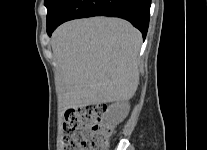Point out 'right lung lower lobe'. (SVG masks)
<instances>
[{
	"instance_id": "right-lung-lower-lobe-1",
	"label": "right lung lower lobe",
	"mask_w": 207,
	"mask_h": 150,
	"mask_svg": "<svg viewBox=\"0 0 207 150\" xmlns=\"http://www.w3.org/2000/svg\"><path fill=\"white\" fill-rule=\"evenodd\" d=\"M151 0H66L54 18L47 23L50 36L65 21L93 16L119 17L128 20L146 37Z\"/></svg>"
}]
</instances>
